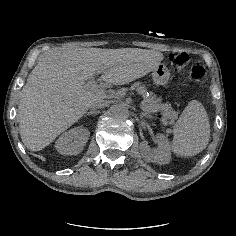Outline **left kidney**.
<instances>
[{"instance_id": "obj_1", "label": "left kidney", "mask_w": 236, "mask_h": 236, "mask_svg": "<svg viewBox=\"0 0 236 236\" xmlns=\"http://www.w3.org/2000/svg\"><path fill=\"white\" fill-rule=\"evenodd\" d=\"M158 148L151 149L147 142H141L139 145L140 153L147 162L166 164L170 162L171 152L170 144L163 134L156 135Z\"/></svg>"}]
</instances>
